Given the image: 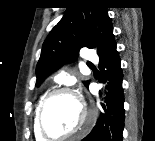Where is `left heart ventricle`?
Instances as JSON below:
<instances>
[{"label":"left heart ventricle","instance_id":"obj_1","mask_svg":"<svg viewBox=\"0 0 155 141\" xmlns=\"http://www.w3.org/2000/svg\"><path fill=\"white\" fill-rule=\"evenodd\" d=\"M83 119L79 101L66 94L52 97L45 109L44 125L49 133L60 135L75 129Z\"/></svg>","mask_w":155,"mask_h":141}]
</instances>
